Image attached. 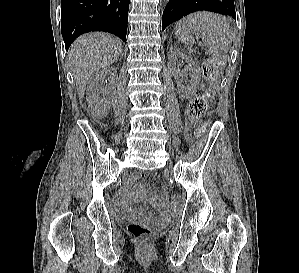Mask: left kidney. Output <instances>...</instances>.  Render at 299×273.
I'll return each instance as SVG.
<instances>
[{"label": "left kidney", "mask_w": 299, "mask_h": 273, "mask_svg": "<svg viewBox=\"0 0 299 273\" xmlns=\"http://www.w3.org/2000/svg\"><path fill=\"white\" fill-rule=\"evenodd\" d=\"M180 59L187 63L186 71L192 72L190 86L188 88L183 86L181 79L182 72L176 66V61ZM168 66L170 68L171 74L176 79L177 88L181 96L186 98L192 96L196 92L197 85L200 81L201 71L197 65V62L192 57L182 53L179 49L171 47L168 54Z\"/></svg>", "instance_id": "left-kidney-1"}]
</instances>
